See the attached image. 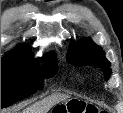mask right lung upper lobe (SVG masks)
<instances>
[{
    "label": "right lung upper lobe",
    "mask_w": 123,
    "mask_h": 113,
    "mask_svg": "<svg viewBox=\"0 0 123 113\" xmlns=\"http://www.w3.org/2000/svg\"><path fill=\"white\" fill-rule=\"evenodd\" d=\"M19 49H21V50H27V47L24 46V45H22V46L19 47Z\"/></svg>",
    "instance_id": "cb5924a9"
}]
</instances>
